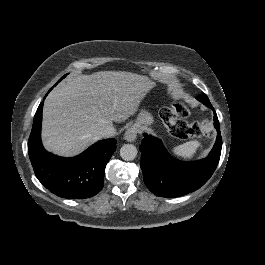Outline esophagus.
Returning <instances> with one entry per match:
<instances>
[{
    "mask_svg": "<svg viewBox=\"0 0 265 265\" xmlns=\"http://www.w3.org/2000/svg\"><path fill=\"white\" fill-rule=\"evenodd\" d=\"M138 129L136 127H130L124 134V139L128 142H133L137 137Z\"/></svg>",
    "mask_w": 265,
    "mask_h": 265,
    "instance_id": "34e87169",
    "label": "esophagus"
}]
</instances>
